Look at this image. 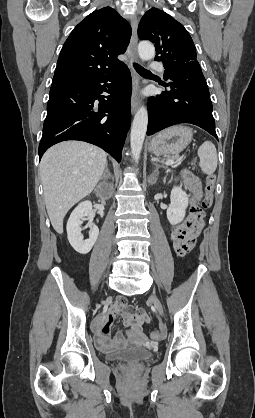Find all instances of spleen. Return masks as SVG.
<instances>
[{
    "label": "spleen",
    "instance_id": "spleen-1",
    "mask_svg": "<svg viewBox=\"0 0 255 418\" xmlns=\"http://www.w3.org/2000/svg\"><path fill=\"white\" fill-rule=\"evenodd\" d=\"M198 156L200 158L199 166L203 173L212 175L217 168V151L214 144L210 141H205L198 149Z\"/></svg>",
    "mask_w": 255,
    "mask_h": 418
}]
</instances>
